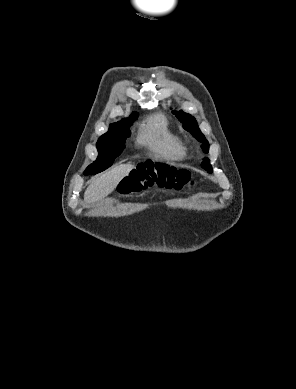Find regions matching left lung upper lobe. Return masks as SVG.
Returning <instances> with one entry per match:
<instances>
[{"label": "left lung upper lobe", "mask_w": 296, "mask_h": 389, "mask_svg": "<svg viewBox=\"0 0 296 389\" xmlns=\"http://www.w3.org/2000/svg\"><path fill=\"white\" fill-rule=\"evenodd\" d=\"M173 114H175L176 117L183 123V127L185 130L189 131L198 141L203 143L201 147L204 152L208 153L209 143L200 131L195 118L192 117L190 114L184 113L183 111H173ZM202 167L209 173H212V167L208 159H206L202 163Z\"/></svg>", "instance_id": "obj_1"}]
</instances>
